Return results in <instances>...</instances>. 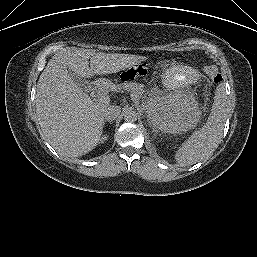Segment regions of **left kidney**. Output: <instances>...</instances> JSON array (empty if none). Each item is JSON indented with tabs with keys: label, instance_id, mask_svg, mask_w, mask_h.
<instances>
[{
	"label": "left kidney",
	"instance_id": "5707ae66",
	"mask_svg": "<svg viewBox=\"0 0 257 257\" xmlns=\"http://www.w3.org/2000/svg\"><path fill=\"white\" fill-rule=\"evenodd\" d=\"M147 117L155 131L180 134L199 122L200 113L192 95L177 92L152 100Z\"/></svg>",
	"mask_w": 257,
	"mask_h": 257
}]
</instances>
